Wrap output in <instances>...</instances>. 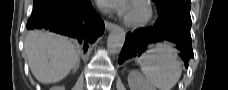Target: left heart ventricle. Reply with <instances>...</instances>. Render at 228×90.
Wrapping results in <instances>:
<instances>
[{
  "mask_svg": "<svg viewBox=\"0 0 228 90\" xmlns=\"http://www.w3.org/2000/svg\"><path fill=\"white\" fill-rule=\"evenodd\" d=\"M126 15L133 20H138L145 15V9L142 5L134 4L129 6Z\"/></svg>",
  "mask_w": 228,
  "mask_h": 90,
  "instance_id": "left-heart-ventricle-1",
  "label": "left heart ventricle"
}]
</instances>
